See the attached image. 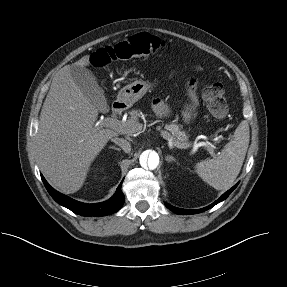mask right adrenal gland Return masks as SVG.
Segmentation results:
<instances>
[{
  "label": "right adrenal gland",
  "instance_id": "1",
  "mask_svg": "<svg viewBox=\"0 0 287 287\" xmlns=\"http://www.w3.org/2000/svg\"><path fill=\"white\" fill-rule=\"evenodd\" d=\"M109 148H110V149H114V150H117V151H120V150H121L120 148H118V147H115V146H110Z\"/></svg>",
  "mask_w": 287,
  "mask_h": 287
}]
</instances>
